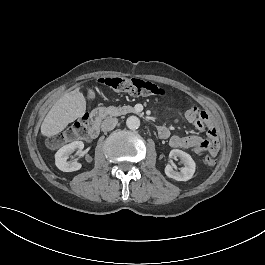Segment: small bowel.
<instances>
[{
	"label": "small bowel",
	"mask_w": 265,
	"mask_h": 265,
	"mask_svg": "<svg viewBox=\"0 0 265 265\" xmlns=\"http://www.w3.org/2000/svg\"><path fill=\"white\" fill-rule=\"evenodd\" d=\"M204 114L207 115L206 119L202 118ZM186 118L199 130H203L206 127L209 139H203L197 135H171L169 129L164 126L158 129L159 137L161 139H168L170 147L175 149H191L198 156H201L206 151L216 155L219 144L217 131L210 116L206 112L201 111L198 107L193 106L187 110Z\"/></svg>",
	"instance_id": "obj_1"
}]
</instances>
